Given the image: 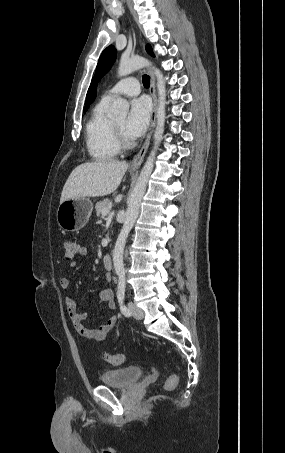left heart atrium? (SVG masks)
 <instances>
[{"label": "left heart atrium", "mask_w": 285, "mask_h": 453, "mask_svg": "<svg viewBox=\"0 0 285 453\" xmlns=\"http://www.w3.org/2000/svg\"><path fill=\"white\" fill-rule=\"evenodd\" d=\"M150 119V104L145 98H137L131 102L130 112L126 121V133L130 138L140 137L146 130Z\"/></svg>", "instance_id": "1"}]
</instances>
